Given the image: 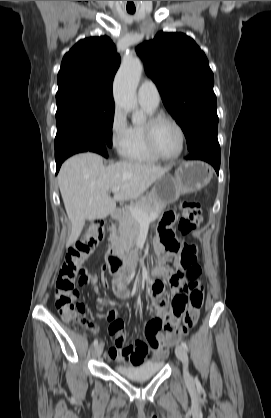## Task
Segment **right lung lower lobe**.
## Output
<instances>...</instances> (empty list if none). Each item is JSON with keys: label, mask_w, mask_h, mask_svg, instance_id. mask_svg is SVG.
I'll return each instance as SVG.
<instances>
[{"label": "right lung lower lobe", "mask_w": 271, "mask_h": 418, "mask_svg": "<svg viewBox=\"0 0 271 418\" xmlns=\"http://www.w3.org/2000/svg\"><path fill=\"white\" fill-rule=\"evenodd\" d=\"M107 146L108 145L104 141L95 140V141L80 143L76 145L66 146L59 150H56L55 151L56 173L58 172L62 162L66 158L76 153L91 151V152H96L107 157V152H106Z\"/></svg>", "instance_id": "1"}]
</instances>
